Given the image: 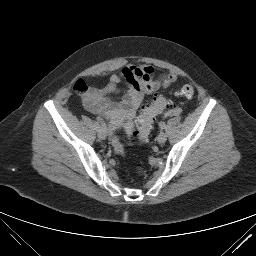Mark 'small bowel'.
<instances>
[{"label":"small bowel","mask_w":256,"mask_h":256,"mask_svg":"<svg viewBox=\"0 0 256 256\" xmlns=\"http://www.w3.org/2000/svg\"><path fill=\"white\" fill-rule=\"evenodd\" d=\"M177 76L173 73L154 75L152 67L147 65H127L119 74L110 77L109 84L102 90L92 89L85 97L86 106L106 118L112 128L122 121L130 120L135 116L136 109L143 98L160 88H167L173 84ZM126 83V88L118 100L109 97L118 91V85ZM175 110L166 112L174 114Z\"/></svg>","instance_id":"1"}]
</instances>
